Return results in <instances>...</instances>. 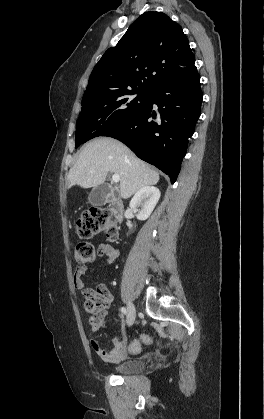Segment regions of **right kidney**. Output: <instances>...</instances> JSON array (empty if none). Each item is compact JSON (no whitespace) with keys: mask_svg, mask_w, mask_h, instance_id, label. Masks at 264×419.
Wrapping results in <instances>:
<instances>
[{"mask_svg":"<svg viewBox=\"0 0 264 419\" xmlns=\"http://www.w3.org/2000/svg\"><path fill=\"white\" fill-rule=\"evenodd\" d=\"M160 198V191L154 186H146L139 189L130 201V209L133 212L138 211V207L141 206V210L136 215L139 220H146L154 210L156 204Z\"/></svg>","mask_w":264,"mask_h":419,"instance_id":"obj_1","label":"right kidney"}]
</instances>
